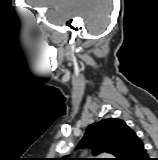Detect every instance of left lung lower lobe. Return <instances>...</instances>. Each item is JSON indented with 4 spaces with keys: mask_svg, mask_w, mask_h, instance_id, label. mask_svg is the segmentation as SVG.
<instances>
[{
    "mask_svg": "<svg viewBox=\"0 0 158 160\" xmlns=\"http://www.w3.org/2000/svg\"><path fill=\"white\" fill-rule=\"evenodd\" d=\"M121 160H150L143 142L134 132L129 140L128 147Z\"/></svg>",
    "mask_w": 158,
    "mask_h": 160,
    "instance_id": "0a47b994",
    "label": "left lung lower lobe"
}]
</instances>
